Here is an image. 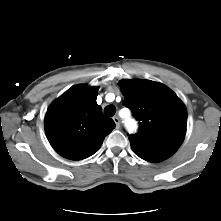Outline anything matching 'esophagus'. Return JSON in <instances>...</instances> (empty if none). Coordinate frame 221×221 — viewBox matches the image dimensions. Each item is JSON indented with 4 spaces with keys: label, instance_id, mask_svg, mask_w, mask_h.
Here are the masks:
<instances>
[{
    "label": "esophagus",
    "instance_id": "1",
    "mask_svg": "<svg viewBox=\"0 0 221 221\" xmlns=\"http://www.w3.org/2000/svg\"><path fill=\"white\" fill-rule=\"evenodd\" d=\"M113 120L116 124V128H119L120 127V119L117 116H115V117H113Z\"/></svg>",
    "mask_w": 221,
    "mask_h": 221
}]
</instances>
